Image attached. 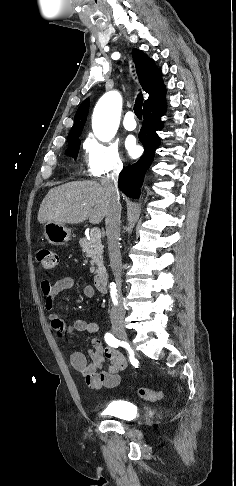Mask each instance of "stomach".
<instances>
[{"label":"stomach","instance_id":"stomach-1","mask_svg":"<svg viewBox=\"0 0 236 486\" xmlns=\"http://www.w3.org/2000/svg\"><path fill=\"white\" fill-rule=\"evenodd\" d=\"M44 235L52 245H63L71 239V230L62 223L47 222Z\"/></svg>","mask_w":236,"mask_h":486}]
</instances>
